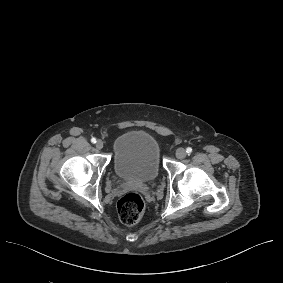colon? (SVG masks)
Masks as SVG:
<instances>
[{
    "label": "colon",
    "mask_w": 283,
    "mask_h": 283,
    "mask_svg": "<svg viewBox=\"0 0 283 283\" xmlns=\"http://www.w3.org/2000/svg\"><path fill=\"white\" fill-rule=\"evenodd\" d=\"M117 210L120 220L126 225H134L143 217L145 202L137 193H128L117 202Z\"/></svg>",
    "instance_id": "colon-1"
}]
</instances>
